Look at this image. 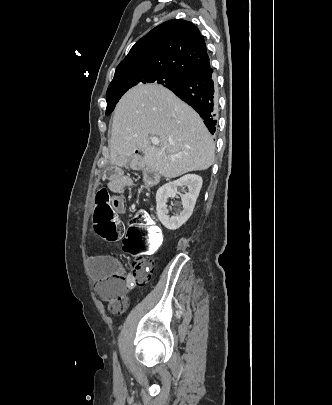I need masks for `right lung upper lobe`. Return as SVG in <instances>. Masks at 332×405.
<instances>
[{"label": "right lung upper lobe", "instance_id": "cb5924a9", "mask_svg": "<svg viewBox=\"0 0 332 405\" xmlns=\"http://www.w3.org/2000/svg\"><path fill=\"white\" fill-rule=\"evenodd\" d=\"M210 64L205 41L189 21L173 19L137 41L117 66L114 78L140 71L187 76Z\"/></svg>", "mask_w": 332, "mask_h": 405}]
</instances>
